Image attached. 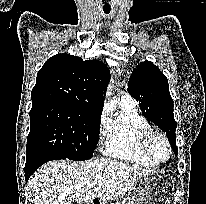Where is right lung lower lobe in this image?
Wrapping results in <instances>:
<instances>
[{"label": "right lung lower lobe", "mask_w": 206, "mask_h": 204, "mask_svg": "<svg viewBox=\"0 0 206 204\" xmlns=\"http://www.w3.org/2000/svg\"><path fill=\"white\" fill-rule=\"evenodd\" d=\"M54 160L52 156L48 152L39 151L32 153L30 155H26V165H25V179L28 181L29 177L36 171L38 167L42 164Z\"/></svg>", "instance_id": "right-lung-lower-lobe-1"}]
</instances>
